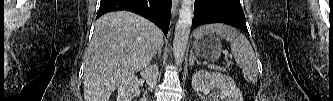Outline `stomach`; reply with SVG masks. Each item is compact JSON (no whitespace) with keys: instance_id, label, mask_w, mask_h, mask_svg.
Segmentation results:
<instances>
[{"instance_id":"1","label":"stomach","mask_w":333,"mask_h":101,"mask_svg":"<svg viewBox=\"0 0 333 101\" xmlns=\"http://www.w3.org/2000/svg\"><path fill=\"white\" fill-rule=\"evenodd\" d=\"M193 49L197 56L208 61L219 59L222 50L220 38L213 33H202L195 35Z\"/></svg>"}]
</instances>
